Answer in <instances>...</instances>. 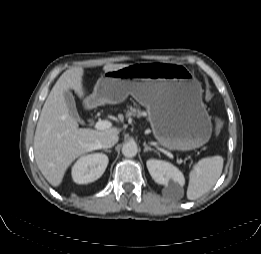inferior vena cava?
<instances>
[{"label": "inferior vena cava", "mask_w": 261, "mask_h": 254, "mask_svg": "<svg viewBox=\"0 0 261 254\" xmlns=\"http://www.w3.org/2000/svg\"><path fill=\"white\" fill-rule=\"evenodd\" d=\"M117 134H109L102 137L98 143L99 148H110L118 142Z\"/></svg>", "instance_id": "1"}]
</instances>
